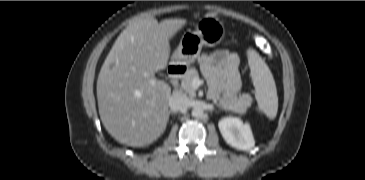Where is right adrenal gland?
<instances>
[{
	"mask_svg": "<svg viewBox=\"0 0 365 180\" xmlns=\"http://www.w3.org/2000/svg\"><path fill=\"white\" fill-rule=\"evenodd\" d=\"M169 113L175 114V112L169 111Z\"/></svg>",
	"mask_w": 365,
	"mask_h": 180,
	"instance_id": "obj_1",
	"label": "right adrenal gland"
}]
</instances>
